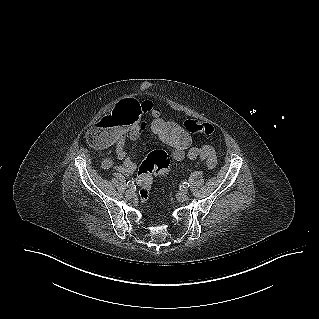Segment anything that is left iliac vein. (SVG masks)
<instances>
[{
    "mask_svg": "<svg viewBox=\"0 0 319 319\" xmlns=\"http://www.w3.org/2000/svg\"><path fill=\"white\" fill-rule=\"evenodd\" d=\"M177 200L180 202H185L189 199L188 193L186 191H181L176 195Z\"/></svg>",
    "mask_w": 319,
    "mask_h": 319,
    "instance_id": "obj_1",
    "label": "left iliac vein"
}]
</instances>
